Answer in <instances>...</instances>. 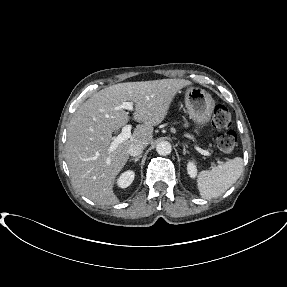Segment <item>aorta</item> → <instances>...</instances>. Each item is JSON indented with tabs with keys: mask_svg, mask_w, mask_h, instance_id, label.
<instances>
[{
	"mask_svg": "<svg viewBox=\"0 0 287 287\" xmlns=\"http://www.w3.org/2000/svg\"><path fill=\"white\" fill-rule=\"evenodd\" d=\"M156 151L159 155L161 156H167L171 153L172 151V146L169 142L167 141H161L157 144L156 146Z\"/></svg>",
	"mask_w": 287,
	"mask_h": 287,
	"instance_id": "1",
	"label": "aorta"
}]
</instances>
